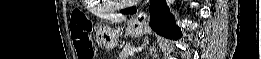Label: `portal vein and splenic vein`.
<instances>
[{"label":"portal vein and splenic vein","mask_w":261,"mask_h":59,"mask_svg":"<svg viewBox=\"0 0 261 59\" xmlns=\"http://www.w3.org/2000/svg\"><path fill=\"white\" fill-rule=\"evenodd\" d=\"M129 55L133 56L134 55V51H129Z\"/></svg>","instance_id":"1"}]
</instances>
